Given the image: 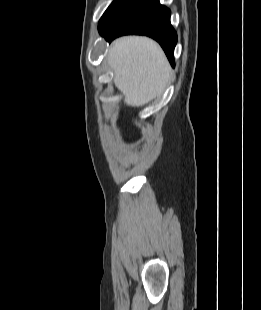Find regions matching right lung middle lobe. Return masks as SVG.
I'll return each mask as SVG.
<instances>
[{
  "label": "right lung middle lobe",
  "instance_id": "right-lung-middle-lobe-1",
  "mask_svg": "<svg viewBox=\"0 0 261 310\" xmlns=\"http://www.w3.org/2000/svg\"><path fill=\"white\" fill-rule=\"evenodd\" d=\"M131 0H114L99 21V28L105 26Z\"/></svg>",
  "mask_w": 261,
  "mask_h": 310
}]
</instances>
